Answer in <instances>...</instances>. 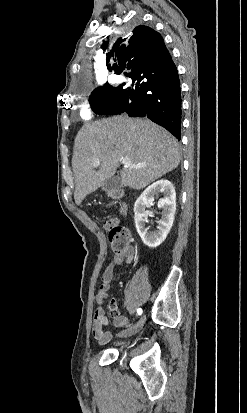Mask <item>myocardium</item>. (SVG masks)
I'll return each instance as SVG.
<instances>
[{"instance_id":"1","label":"myocardium","mask_w":247,"mask_h":413,"mask_svg":"<svg viewBox=\"0 0 247 413\" xmlns=\"http://www.w3.org/2000/svg\"><path fill=\"white\" fill-rule=\"evenodd\" d=\"M122 121H138V120H122Z\"/></svg>"}]
</instances>
